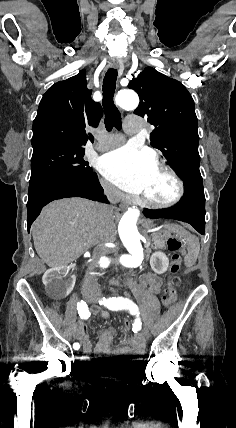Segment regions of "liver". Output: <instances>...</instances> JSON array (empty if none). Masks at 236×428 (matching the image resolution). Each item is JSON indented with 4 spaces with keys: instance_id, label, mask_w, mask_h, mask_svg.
Masks as SVG:
<instances>
[{
    "instance_id": "liver-1",
    "label": "liver",
    "mask_w": 236,
    "mask_h": 428,
    "mask_svg": "<svg viewBox=\"0 0 236 428\" xmlns=\"http://www.w3.org/2000/svg\"><path fill=\"white\" fill-rule=\"evenodd\" d=\"M112 216L82 198L55 200L43 208L32 228L35 250L50 268L67 266L95 244H113Z\"/></svg>"
}]
</instances>
